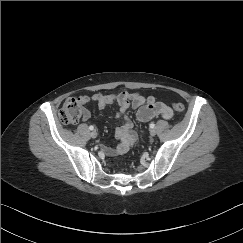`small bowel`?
I'll use <instances>...</instances> for the list:
<instances>
[{
	"instance_id": "c3829d8e",
	"label": "small bowel",
	"mask_w": 243,
	"mask_h": 243,
	"mask_svg": "<svg viewBox=\"0 0 243 243\" xmlns=\"http://www.w3.org/2000/svg\"><path fill=\"white\" fill-rule=\"evenodd\" d=\"M80 99L84 104L94 103L99 108L115 106V119L122 120L121 126L116 130L118 143L114 147H101V150L110 156L126 153L137 141L129 109H137L136 120L140 123L147 122L156 116H161L164 119H170L173 116L172 110L166 104L156 101L153 96H144L137 92L121 91L117 94H93L81 96ZM82 118L88 120L90 112L85 109Z\"/></svg>"
}]
</instances>
